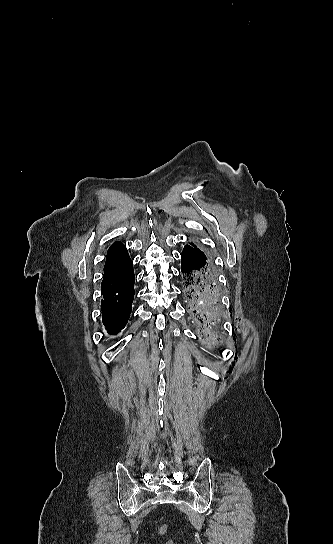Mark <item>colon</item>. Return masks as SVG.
Returning <instances> with one entry per match:
<instances>
[{
  "instance_id": "5ec220e1",
  "label": "colon",
  "mask_w": 333,
  "mask_h": 544,
  "mask_svg": "<svg viewBox=\"0 0 333 544\" xmlns=\"http://www.w3.org/2000/svg\"><path fill=\"white\" fill-rule=\"evenodd\" d=\"M166 531H167V527H166V526H162L161 529H160L161 534H165ZM167 544H172V542H168Z\"/></svg>"
}]
</instances>
